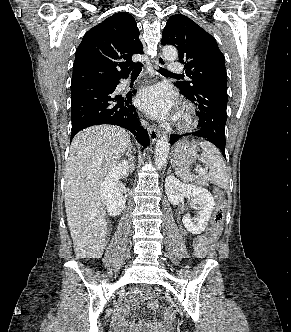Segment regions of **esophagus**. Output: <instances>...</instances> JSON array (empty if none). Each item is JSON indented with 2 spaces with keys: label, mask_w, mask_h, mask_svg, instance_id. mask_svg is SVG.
Returning <instances> with one entry per match:
<instances>
[{
  "label": "esophagus",
  "mask_w": 291,
  "mask_h": 332,
  "mask_svg": "<svg viewBox=\"0 0 291 332\" xmlns=\"http://www.w3.org/2000/svg\"><path fill=\"white\" fill-rule=\"evenodd\" d=\"M165 59L162 55H158L155 61V68L162 67L165 65ZM149 136L152 143H155L158 137L160 136V131L155 126L149 127Z\"/></svg>",
  "instance_id": "obj_1"
}]
</instances>
